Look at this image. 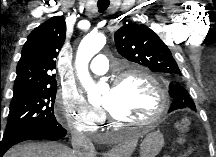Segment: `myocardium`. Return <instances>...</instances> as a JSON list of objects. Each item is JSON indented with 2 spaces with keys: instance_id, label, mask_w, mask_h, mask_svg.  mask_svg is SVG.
Wrapping results in <instances>:
<instances>
[{
  "instance_id": "f54148a6",
  "label": "myocardium",
  "mask_w": 216,
  "mask_h": 157,
  "mask_svg": "<svg viewBox=\"0 0 216 157\" xmlns=\"http://www.w3.org/2000/svg\"><path fill=\"white\" fill-rule=\"evenodd\" d=\"M131 77L142 78L146 80L153 87L159 99L158 107L155 113L146 120L128 121L116 117L107 107L104 106V109L108 115L110 122L113 125H123V126H147L159 122L165 115L169 106V100L165 88L155 79L154 76H152L147 71L140 68L129 69L124 73L116 76L112 81V88L119 87L127 78H131Z\"/></svg>"
}]
</instances>
